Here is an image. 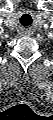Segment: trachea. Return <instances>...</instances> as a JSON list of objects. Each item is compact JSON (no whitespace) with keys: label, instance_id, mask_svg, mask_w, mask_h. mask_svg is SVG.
Listing matches in <instances>:
<instances>
[{"label":"trachea","instance_id":"1","mask_svg":"<svg viewBox=\"0 0 53 120\" xmlns=\"http://www.w3.org/2000/svg\"><path fill=\"white\" fill-rule=\"evenodd\" d=\"M20 22L22 25H30L32 23V18L28 15H23Z\"/></svg>","mask_w":53,"mask_h":120}]
</instances>
